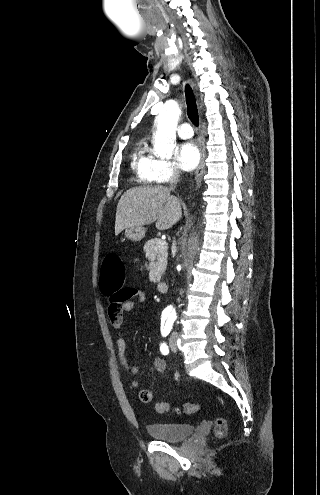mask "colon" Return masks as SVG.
I'll return each instance as SVG.
<instances>
[{"label": "colon", "mask_w": 320, "mask_h": 495, "mask_svg": "<svg viewBox=\"0 0 320 495\" xmlns=\"http://www.w3.org/2000/svg\"><path fill=\"white\" fill-rule=\"evenodd\" d=\"M125 275V267L120 256L114 253L107 255L100 269L99 286L101 291L107 295L117 293L118 302H123L127 298V294L121 290ZM139 398L142 402L149 403L153 399V394L149 389H142L139 393ZM155 408L161 414L168 413L171 410L177 414H194L198 411L199 405L194 402H185L172 408L168 402L160 401L156 403ZM214 433L217 438L226 436L227 420L225 418L221 417L216 420Z\"/></svg>", "instance_id": "colon-1"}]
</instances>
